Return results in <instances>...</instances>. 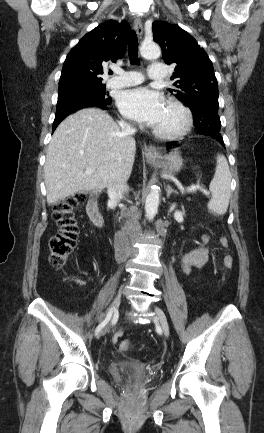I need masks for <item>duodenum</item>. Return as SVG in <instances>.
<instances>
[{"instance_id": "duodenum-1", "label": "duodenum", "mask_w": 264, "mask_h": 433, "mask_svg": "<svg viewBox=\"0 0 264 433\" xmlns=\"http://www.w3.org/2000/svg\"><path fill=\"white\" fill-rule=\"evenodd\" d=\"M87 213L93 222V224L98 228H103L105 224L104 216L99 210L98 196L93 195L87 202L86 205Z\"/></svg>"}]
</instances>
